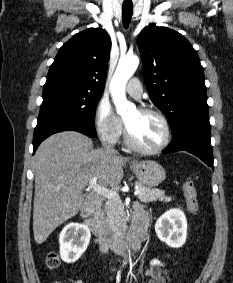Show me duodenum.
Wrapping results in <instances>:
<instances>
[{"label": "duodenum", "mask_w": 233, "mask_h": 283, "mask_svg": "<svg viewBox=\"0 0 233 283\" xmlns=\"http://www.w3.org/2000/svg\"><path fill=\"white\" fill-rule=\"evenodd\" d=\"M101 199L91 195L81 210V216L85 225L94 233L101 244L103 251L114 249L120 254L136 253L140 250L142 242L146 238L147 224L144 221H137L132 224L126 240H118L97 217Z\"/></svg>", "instance_id": "obj_1"}]
</instances>
